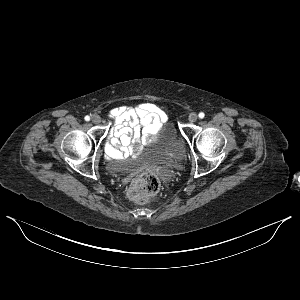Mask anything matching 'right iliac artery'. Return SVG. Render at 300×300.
<instances>
[{
  "label": "right iliac artery",
  "mask_w": 300,
  "mask_h": 300,
  "mask_svg": "<svg viewBox=\"0 0 300 300\" xmlns=\"http://www.w3.org/2000/svg\"><path fill=\"white\" fill-rule=\"evenodd\" d=\"M85 121H89L90 120V117L89 116H85Z\"/></svg>",
  "instance_id": "right-iliac-artery-1"
}]
</instances>
